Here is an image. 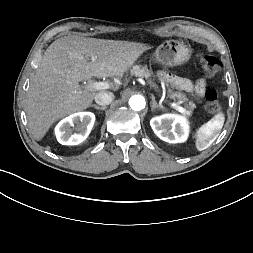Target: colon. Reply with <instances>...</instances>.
<instances>
[{"label":"colon","mask_w":253,"mask_h":253,"mask_svg":"<svg viewBox=\"0 0 253 253\" xmlns=\"http://www.w3.org/2000/svg\"><path fill=\"white\" fill-rule=\"evenodd\" d=\"M200 64L208 76L216 75L221 69V62L212 55H202L200 57ZM204 106L209 113H216L220 110L218 95L214 90L208 89L205 91Z\"/></svg>","instance_id":"colon-1"}]
</instances>
